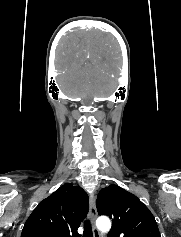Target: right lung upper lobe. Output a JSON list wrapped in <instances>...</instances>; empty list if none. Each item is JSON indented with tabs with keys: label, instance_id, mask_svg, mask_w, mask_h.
I'll return each mask as SVG.
<instances>
[{
	"label": "right lung upper lobe",
	"instance_id": "obj_1",
	"mask_svg": "<svg viewBox=\"0 0 181 237\" xmlns=\"http://www.w3.org/2000/svg\"><path fill=\"white\" fill-rule=\"evenodd\" d=\"M88 206V195L82 188L64 184L33 210L21 237H81L77 229Z\"/></svg>",
	"mask_w": 181,
	"mask_h": 237
}]
</instances>
